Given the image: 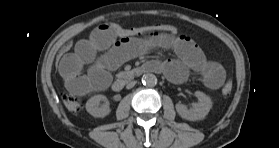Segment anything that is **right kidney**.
<instances>
[{
	"instance_id": "ca27d5eb",
	"label": "right kidney",
	"mask_w": 279,
	"mask_h": 148,
	"mask_svg": "<svg viewBox=\"0 0 279 148\" xmlns=\"http://www.w3.org/2000/svg\"><path fill=\"white\" fill-rule=\"evenodd\" d=\"M100 101L104 103L99 107ZM86 110L89 114L97 118H103L111 112L106 96L101 94L94 95L86 102Z\"/></svg>"
}]
</instances>
